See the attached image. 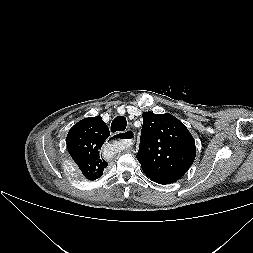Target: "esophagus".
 <instances>
[{
	"instance_id": "1",
	"label": "esophagus",
	"mask_w": 253,
	"mask_h": 253,
	"mask_svg": "<svg viewBox=\"0 0 253 253\" xmlns=\"http://www.w3.org/2000/svg\"><path fill=\"white\" fill-rule=\"evenodd\" d=\"M121 134V138H117L116 136ZM114 139H118L123 141V143L127 146L130 147L133 145L134 143V139H135V132L131 129L126 130L125 132H120L114 135Z\"/></svg>"
}]
</instances>
